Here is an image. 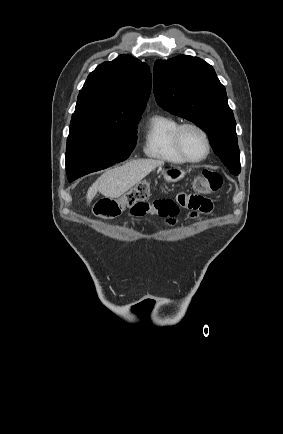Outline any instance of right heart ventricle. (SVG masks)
<instances>
[{"label":"right heart ventricle","mask_w":283,"mask_h":434,"mask_svg":"<svg viewBox=\"0 0 283 434\" xmlns=\"http://www.w3.org/2000/svg\"><path fill=\"white\" fill-rule=\"evenodd\" d=\"M180 122L166 114L153 115L146 126L144 153L150 157L172 164L186 161L179 155L174 145V132Z\"/></svg>","instance_id":"obj_1"}]
</instances>
